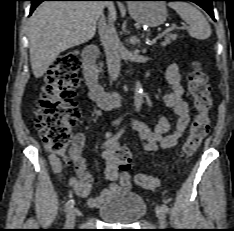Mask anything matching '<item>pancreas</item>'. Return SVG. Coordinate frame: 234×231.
<instances>
[{"mask_svg": "<svg viewBox=\"0 0 234 231\" xmlns=\"http://www.w3.org/2000/svg\"><path fill=\"white\" fill-rule=\"evenodd\" d=\"M177 38V34H169L165 37L164 42H162L163 46H166L167 44H169L171 42V40H176Z\"/></svg>", "mask_w": 234, "mask_h": 231, "instance_id": "pancreas-1", "label": "pancreas"}]
</instances>
